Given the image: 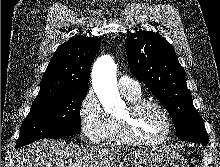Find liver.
<instances>
[{"label":"liver","instance_id":"6515ba94","mask_svg":"<svg viewBox=\"0 0 220 167\" xmlns=\"http://www.w3.org/2000/svg\"><path fill=\"white\" fill-rule=\"evenodd\" d=\"M124 149L42 139L16 152V167H112Z\"/></svg>","mask_w":220,"mask_h":167}]
</instances>
